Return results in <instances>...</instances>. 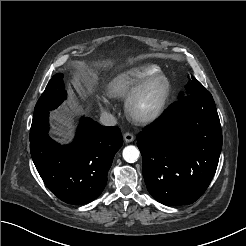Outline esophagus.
I'll return each instance as SVG.
<instances>
[{
    "mask_svg": "<svg viewBox=\"0 0 246 246\" xmlns=\"http://www.w3.org/2000/svg\"><path fill=\"white\" fill-rule=\"evenodd\" d=\"M123 138H124L126 143H130V142L134 141V135L132 133H129V132L125 133L123 135Z\"/></svg>",
    "mask_w": 246,
    "mask_h": 246,
    "instance_id": "obj_1",
    "label": "esophagus"
}]
</instances>
